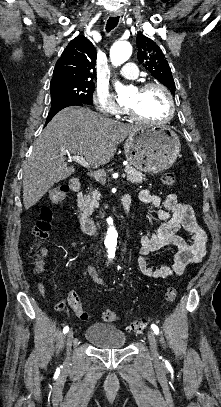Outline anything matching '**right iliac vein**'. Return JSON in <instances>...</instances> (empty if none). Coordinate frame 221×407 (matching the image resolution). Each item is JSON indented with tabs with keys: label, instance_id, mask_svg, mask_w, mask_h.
I'll use <instances>...</instances> for the list:
<instances>
[{
	"label": "right iliac vein",
	"instance_id": "63e3f726",
	"mask_svg": "<svg viewBox=\"0 0 221 407\" xmlns=\"http://www.w3.org/2000/svg\"><path fill=\"white\" fill-rule=\"evenodd\" d=\"M73 330H70L67 334V356H70V352H71V346H72V342H73Z\"/></svg>",
	"mask_w": 221,
	"mask_h": 407
}]
</instances>
